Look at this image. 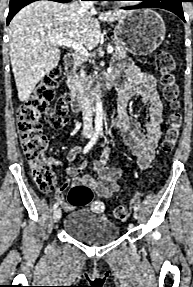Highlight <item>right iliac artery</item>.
Listing matches in <instances>:
<instances>
[{
  "instance_id": "obj_1",
  "label": "right iliac artery",
  "mask_w": 193,
  "mask_h": 287,
  "mask_svg": "<svg viewBox=\"0 0 193 287\" xmlns=\"http://www.w3.org/2000/svg\"><path fill=\"white\" fill-rule=\"evenodd\" d=\"M99 136V132H95L89 141V143L85 146L83 153L86 154L93 147V145L97 142ZM59 206V202L55 203L53 206V210H55Z\"/></svg>"
}]
</instances>
